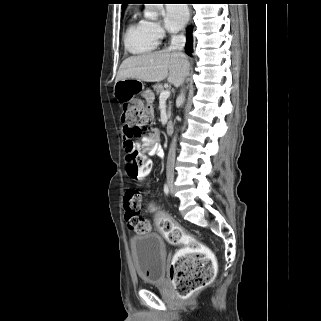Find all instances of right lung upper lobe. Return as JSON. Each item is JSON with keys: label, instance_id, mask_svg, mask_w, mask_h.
Instances as JSON below:
<instances>
[{"label": "right lung upper lobe", "instance_id": "cb5924a9", "mask_svg": "<svg viewBox=\"0 0 321 321\" xmlns=\"http://www.w3.org/2000/svg\"><path fill=\"white\" fill-rule=\"evenodd\" d=\"M130 0H123L122 2V10L126 8V5L129 3Z\"/></svg>", "mask_w": 321, "mask_h": 321}]
</instances>
